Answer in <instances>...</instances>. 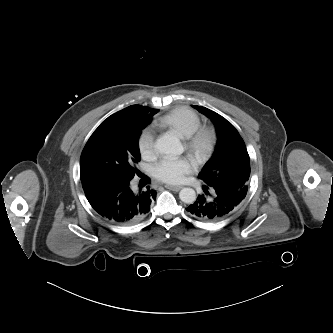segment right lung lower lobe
Here are the masks:
<instances>
[{
  "label": "right lung lower lobe",
  "mask_w": 333,
  "mask_h": 333,
  "mask_svg": "<svg viewBox=\"0 0 333 333\" xmlns=\"http://www.w3.org/2000/svg\"><path fill=\"white\" fill-rule=\"evenodd\" d=\"M130 180L95 178L82 181L90 205L103 218L115 224L130 225L138 222L150 211L156 191L134 192Z\"/></svg>",
  "instance_id": "98d812e1"
}]
</instances>
